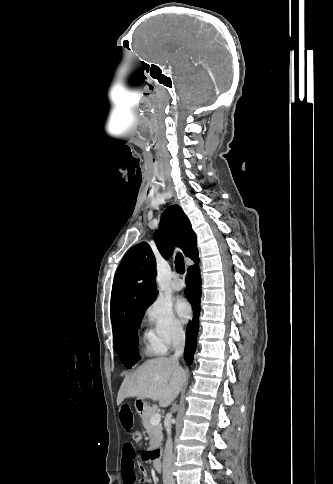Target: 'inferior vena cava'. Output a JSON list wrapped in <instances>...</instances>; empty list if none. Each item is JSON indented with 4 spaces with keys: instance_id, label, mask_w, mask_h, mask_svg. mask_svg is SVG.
Returning a JSON list of instances; mask_svg holds the SVG:
<instances>
[{
    "instance_id": "602c4592",
    "label": "inferior vena cava",
    "mask_w": 333,
    "mask_h": 484,
    "mask_svg": "<svg viewBox=\"0 0 333 484\" xmlns=\"http://www.w3.org/2000/svg\"><path fill=\"white\" fill-rule=\"evenodd\" d=\"M172 344L175 349V354L172 356V358L178 360V358L183 354L185 346V333L182 328H178L175 330L172 338ZM166 430L168 434V439L166 441L162 462L163 484H175V480L172 474L173 443L171 439V426H168Z\"/></svg>"
}]
</instances>
